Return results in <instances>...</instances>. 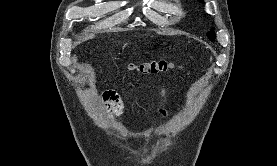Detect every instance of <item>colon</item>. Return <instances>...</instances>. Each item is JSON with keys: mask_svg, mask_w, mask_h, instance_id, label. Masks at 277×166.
<instances>
[{"mask_svg": "<svg viewBox=\"0 0 277 166\" xmlns=\"http://www.w3.org/2000/svg\"><path fill=\"white\" fill-rule=\"evenodd\" d=\"M136 68L143 73H158L171 68V64L164 59H151L140 63Z\"/></svg>", "mask_w": 277, "mask_h": 166, "instance_id": "colon-1", "label": "colon"}]
</instances>
